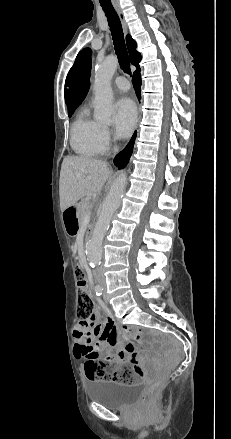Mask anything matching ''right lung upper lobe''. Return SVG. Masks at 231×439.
Segmentation results:
<instances>
[{
    "mask_svg": "<svg viewBox=\"0 0 231 439\" xmlns=\"http://www.w3.org/2000/svg\"><path fill=\"white\" fill-rule=\"evenodd\" d=\"M126 43L131 63L138 68L141 55L136 51V42L128 35ZM90 71L91 59H88L75 79L73 77L66 78L65 86H69V91L65 90V101L68 110L77 108L87 95L90 87Z\"/></svg>",
    "mask_w": 231,
    "mask_h": 439,
    "instance_id": "right-lung-upper-lobe-1",
    "label": "right lung upper lobe"
}]
</instances>
